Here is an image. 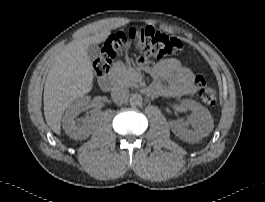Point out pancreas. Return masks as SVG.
Listing matches in <instances>:
<instances>
[{"label":"pancreas","mask_w":265,"mask_h":202,"mask_svg":"<svg viewBox=\"0 0 265 202\" xmlns=\"http://www.w3.org/2000/svg\"><path fill=\"white\" fill-rule=\"evenodd\" d=\"M112 74L117 83L135 87L137 85V71L132 67L125 66L122 62H116L112 68Z\"/></svg>","instance_id":"cf45deb5"}]
</instances>
